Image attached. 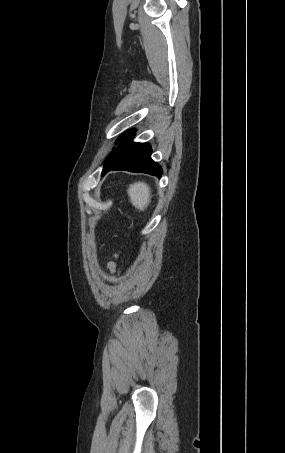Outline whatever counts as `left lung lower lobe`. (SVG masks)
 <instances>
[{
  "mask_svg": "<svg viewBox=\"0 0 285 453\" xmlns=\"http://www.w3.org/2000/svg\"><path fill=\"white\" fill-rule=\"evenodd\" d=\"M133 137L134 132L128 131L119 139L117 152L110 155L104 165L102 176L113 170L142 172L158 178L162 175V168L150 157L151 146L148 143H132Z\"/></svg>",
  "mask_w": 285,
  "mask_h": 453,
  "instance_id": "left-lung-lower-lobe-1",
  "label": "left lung lower lobe"
}]
</instances>
